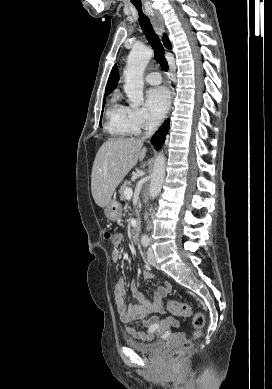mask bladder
<instances>
[{
  "label": "bladder",
  "mask_w": 272,
  "mask_h": 389,
  "mask_svg": "<svg viewBox=\"0 0 272 389\" xmlns=\"http://www.w3.org/2000/svg\"><path fill=\"white\" fill-rule=\"evenodd\" d=\"M125 344L140 353L147 355H156L162 352L165 348V342L161 340L151 341L147 343L134 341L132 339L126 338Z\"/></svg>",
  "instance_id": "31cf9c89"
}]
</instances>
